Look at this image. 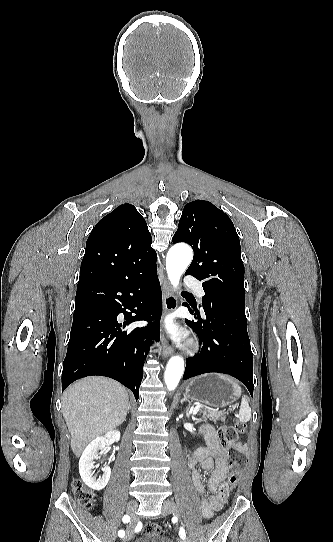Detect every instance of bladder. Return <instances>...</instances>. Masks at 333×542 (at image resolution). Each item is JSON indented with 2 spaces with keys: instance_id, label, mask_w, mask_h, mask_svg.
Here are the masks:
<instances>
[{
  "instance_id": "1",
  "label": "bladder",
  "mask_w": 333,
  "mask_h": 542,
  "mask_svg": "<svg viewBox=\"0 0 333 542\" xmlns=\"http://www.w3.org/2000/svg\"><path fill=\"white\" fill-rule=\"evenodd\" d=\"M134 542H173L169 537L160 534L145 535Z\"/></svg>"
}]
</instances>
